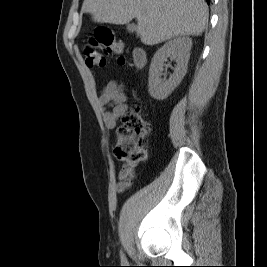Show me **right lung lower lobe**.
I'll use <instances>...</instances> for the list:
<instances>
[{
  "label": "right lung lower lobe",
  "mask_w": 267,
  "mask_h": 267,
  "mask_svg": "<svg viewBox=\"0 0 267 267\" xmlns=\"http://www.w3.org/2000/svg\"><path fill=\"white\" fill-rule=\"evenodd\" d=\"M206 1H207L208 4L210 3V0H206Z\"/></svg>",
  "instance_id": "1"
}]
</instances>
